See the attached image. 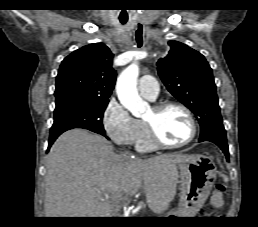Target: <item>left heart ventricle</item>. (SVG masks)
<instances>
[{"instance_id": "b2bd125f", "label": "left heart ventricle", "mask_w": 258, "mask_h": 227, "mask_svg": "<svg viewBox=\"0 0 258 227\" xmlns=\"http://www.w3.org/2000/svg\"><path fill=\"white\" fill-rule=\"evenodd\" d=\"M144 119L151 122L160 138L168 143L182 142L191 132L186 114L175 107L167 108L159 113L151 108Z\"/></svg>"}]
</instances>
